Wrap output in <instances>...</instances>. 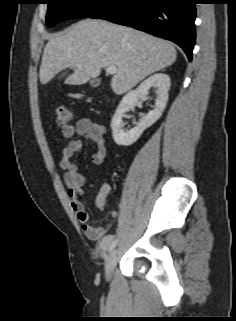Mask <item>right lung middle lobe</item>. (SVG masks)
Returning a JSON list of instances; mask_svg holds the SVG:
<instances>
[{
  "label": "right lung middle lobe",
  "mask_w": 236,
  "mask_h": 321,
  "mask_svg": "<svg viewBox=\"0 0 236 321\" xmlns=\"http://www.w3.org/2000/svg\"><path fill=\"white\" fill-rule=\"evenodd\" d=\"M111 0H46L48 11L46 23H56L70 18L88 17L105 7Z\"/></svg>",
  "instance_id": "obj_1"
}]
</instances>
